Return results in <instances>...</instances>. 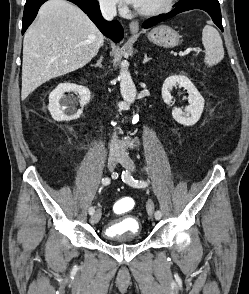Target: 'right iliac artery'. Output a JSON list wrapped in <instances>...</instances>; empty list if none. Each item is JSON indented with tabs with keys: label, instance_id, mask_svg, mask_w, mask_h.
I'll return each mask as SVG.
<instances>
[{
	"label": "right iliac artery",
	"instance_id": "1",
	"mask_svg": "<svg viewBox=\"0 0 249 294\" xmlns=\"http://www.w3.org/2000/svg\"><path fill=\"white\" fill-rule=\"evenodd\" d=\"M102 184L103 185H109L110 184V178L108 177H105L102 179ZM89 214L90 215H93L94 212H95V208L94 207H90L89 210H88Z\"/></svg>",
	"mask_w": 249,
	"mask_h": 294
}]
</instances>
